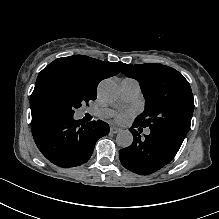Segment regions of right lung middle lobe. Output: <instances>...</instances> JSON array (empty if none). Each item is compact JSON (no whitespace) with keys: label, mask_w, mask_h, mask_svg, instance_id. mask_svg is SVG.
Returning <instances> with one entry per match:
<instances>
[{"label":"right lung middle lobe","mask_w":219,"mask_h":219,"mask_svg":"<svg viewBox=\"0 0 219 219\" xmlns=\"http://www.w3.org/2000/svg\"><path fill=\"white\" fill-rule=\"evenodd\" d=\"M95 99V94L75 78L50 71L38 76L30 97V106L52 107L67 115H74L75 109Z\"/></svg>","instance_id":"dd1d6c3e"}]
</instances>
